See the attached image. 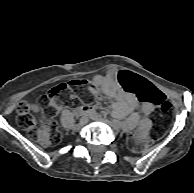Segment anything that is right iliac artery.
<instances>
[{"label":"right iliac artery","instance_id":"right-iliac-artery-1","mask_svg":"<svg viewBox=\"0 0 194 193\" xmlns=\"http://www.w3.org/2000/svg\"><path fill=\"white\" fill-rule=\"evenodd\" d=\"M84 121H85L84 118H81V119H80V122H84Z\"/></svg>","mask_w":194,"mask_h":193}]
</instances>
